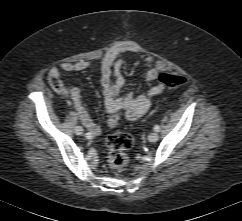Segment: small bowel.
Masks as SVG:
<instances>
[{"mask_svg": "<svg viewBox=\"0 0 242 221\" xmlns=\"http://www.w3.org/2000/svg\"><path fill=\"white\" fill-rule=\"evenodd\" d=\"M124 52L141 53V48L129 42H121L108 50L101 59V85L103 88L104 105L107 114L122 112L127 120H136L145 114L151 106L153 97L159 95L164 86L157 83L150 86L140 95H127L120 97V91L125 86V78L122 76L123 60L121 54ZM148 63V60H146ZM89 67V62L85 60L77 62H63L59 68L50 70V77H61V71L78 72ZM159 72L155 68L149 69L145 74V80L152 83L158 79ZM62 96L68 98L76 110L80 120L88 131L96 136L100 132V127L93 121L85 108L80 91L76 87L70 89L63 87L60 92Z\"/></svg>", "mask_w": 242, "mask_h": 221, "instance_id": "small-bowel-1", "label": "small bowel"}]
</instances>
